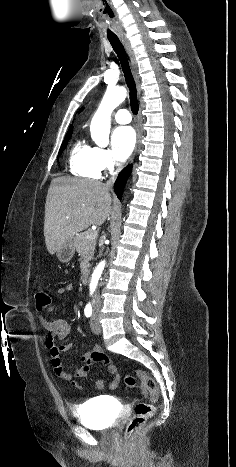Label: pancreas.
Segmentation results:
<instances>
[{"label": "pancreas", "instance_id": "cf45deb5", "mask_svg": "<svg viewBox=\"0 0 236 467\" xmlns=\"http://www.w3.org/2000/svg\"><path fill=\"white\" fill-rule=\"evenodd\" d=\"M91 231H86L80 234H77L73 243L76 248V251L79 253L83 261L80 263L81 272L85 273L89 267V261L94 256V250L96 246V239L87 240L86 235Z\"/></svg>", "mask_w": 236, "mask_h": 467}]
</instances>
